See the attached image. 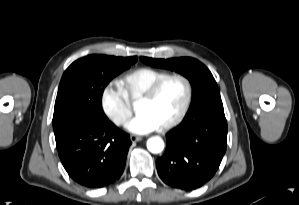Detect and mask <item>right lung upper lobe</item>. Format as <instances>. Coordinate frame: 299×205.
I'll use <instances>...</instances> for the list:
<instances>
[{"label":"right lung upper lobe","mask_w":299,"mask_h":205,"mask_svg":"<svg viewBox=\"0 0 299 205\" xmlns=\"http://www.w3.org/2000/svg\"><path fill=\"white\" fill-rule=\"evenodd\" d=\"M125 59L133 61V62L137 61V57H128V58H125Z\"/></svg>","instance_id":"obj_1"}]
</instances>
